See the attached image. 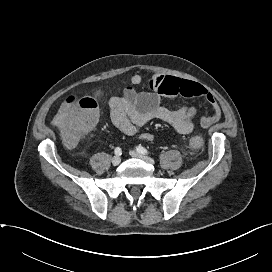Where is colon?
I'll return each instance as SVG.
<instances>
[{"label": "colon", "mask_w": 272, "mask_h": 272, "mask_svg": "<svg viewBox=\"0 0 272 272\" xmlns=\"http://www.w3.org/2000/svg\"><path fill=\"white\" fill-rule=\"evenodd\" d=\"M97 117V103L91 96L70 95L54 116V125L60 130L65 143L78 142L94 125ZM201 136H193L189 146L193 150L203 147Z\"/></svg>", "instance_id": "colon-1"}]
</instances>
